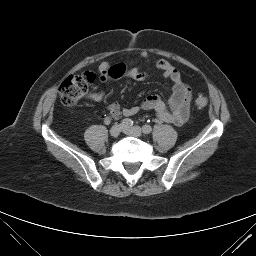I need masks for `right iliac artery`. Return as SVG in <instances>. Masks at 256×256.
<instances>
[{
	"label": "right iliac artery",
	"instance_id": "82829eb1",
	"mask_svg": "<svg viewBox=\"0 0 256 256\" xmlns=\"http://www.w3.org/2000/svg\"><path fill=\"white\" fill-rule=\"evenodd\" d=\"M121 125L125 128H129L133 125V121L129 118H125L122 120Z\"/></svg>",
	"mask_w": 256,
	"mask_h": 256
}]
</instances>
